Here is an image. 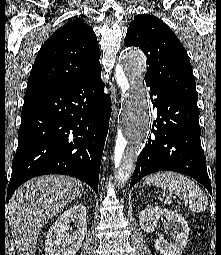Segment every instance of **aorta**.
I'll return each instance as SVG.
<instances>
[{"mask_svg": "<svg viewBox=\"0 0 221 255\" xmlns=\"http://www.w3.org/2000/svg\"><path fill=\"white\" fill-rule=\"evenodd\" d=\"M146 58L135 48L127 49L116 71L117 83L124 96V135L117 140L114 153V175L119 186L131 177L138 155L150 130V107L144 88Z\"/></svg>", "mask_w": 221, "mask_h": 255, "instance_id": "762f6f07", "label": "aorta"}]
</instances>
